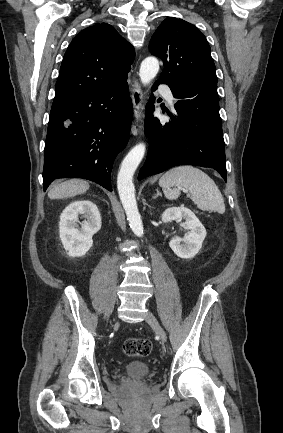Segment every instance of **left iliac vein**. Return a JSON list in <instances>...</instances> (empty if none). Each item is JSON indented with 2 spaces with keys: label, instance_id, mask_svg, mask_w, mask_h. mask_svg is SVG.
<instances>
[{
  "label": "left iliac vein",
  "instance_id": "1",
  "mask_svg": "<svg viewBox=\"0 0 283 433\" xmlns=\"http://www.w3.org/2000/svg\"><path fill=\"white\" fill-rule=\"evenodd\" d=\"M145 319L147 323L154 329L155 333L159 337V339L164 343L167 341V335L164 329L160 326L158 320L154 316V314L150 311L147 312Z\"/></svg>",
  "mask_w": 283,
  "mask_h": 433
}]
</instances>
